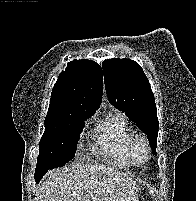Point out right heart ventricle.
<instances>
[{
	"label": "right heart ventricle",
	"instance_id": "right-heart-ventricle-1",
	"mask_svg": "<svg viewBox=\"0 0 196 201\" xmlns=\"http://www.w3.org/2000/svg\"><path fill=\"white\" fill-rule=\"evenodd\" d=\"M133 136L126 117L120 113L111 114L94 129L95 151L119 167H129L133 163L130 154Z\"/></svg>",
	"mask_w": 196,
	"mask_h": 201
}]
</instances>
